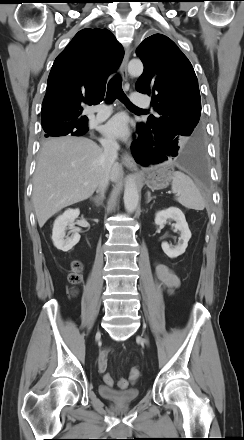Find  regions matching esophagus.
<instances>
[{
    "label": "esophagus",
    "mask_w": 244,
    "mask_h": 440,
    "mask_svg": "<svg viewBox=\"0 0 244 440\" xmlns=\"http://www.w3.org/2000/svg\"><path fill=\"white\" fill-rule=\"evenodd\" d=\"M130 54H131V47H127L125 50V55L122 60L121 68H120V72H121V75L124 80H126L128 77L127 65H128ZM121 162L127 167L136 168V163H135L134 159L128 153H123L121 155Z\"/></svg>",
    "instance_id": "obj_1"
}]
</instances>
